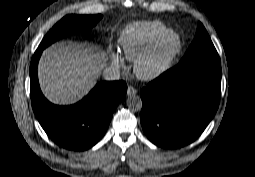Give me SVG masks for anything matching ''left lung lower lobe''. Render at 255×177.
I'll use <instances>...</instances> for the list:
<instances>
[{
    "label": "left lung lower lobe",
    "instance_id": "0a47b994",
    "mask_svg": "<svg viewBox=\"0 0 255 177\" xmlns=\"http://www.w3.org/2000/svg\"><path fill=\"white\" fill-rule=\"evenodd\" d=\"M220 87L219 56L181 61L141 90L145 134L163 148L193 142L217 111Z\"/></svg>",
    "mask_w": 255,
    "mask_h": 177
}]
</instances>
